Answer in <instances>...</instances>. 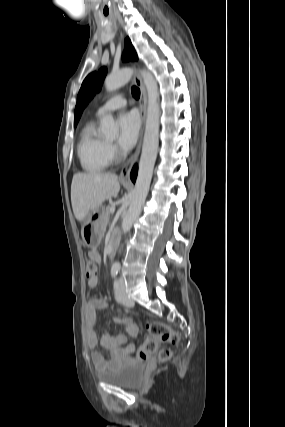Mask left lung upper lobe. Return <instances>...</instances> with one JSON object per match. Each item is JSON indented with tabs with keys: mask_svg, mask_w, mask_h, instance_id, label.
Returning a JSON list of instances; mask_svg holds the SVG:
<instances>
[{
	"mask_svg": "<svg viewBox=\"0 0 285 427\" xmlns=\"http://www.w3.org/2000/svg\"><path fill=\"white\" fill-rule=\"evenodd\" d=\"M123 60H137V54L133 48L129 38L125 40V52L123 54ZM107 69L101 68L98 72L89 74L82 83L81 89L78 93L77 104L75 107V118L74 124L77 125L81 113L88 102L93 98L96 92H98L102 86L103 80L106 76Z\"/></svg>",
	"mask_w": 285,
	"mask_h": 427,
	"instance_id": "obj_1",
	"label": "left lung upper lobe"
}]
</instances>
